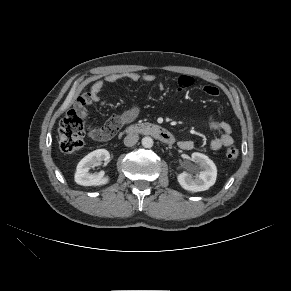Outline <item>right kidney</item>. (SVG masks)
Instances as JSON below:
<instances>
[{
    "mask_svg": "<svg viewBox=\"0 0 291 291\" xmlns=\"http://www.w3.org/2000/svg\"><path fill=\"white\" fill-rule=\"evenodd\" d=\"M110 154L105 149H97L86 155L77 165L75 173V182L82 186H100L109 182V177L104 171L90 173V169L98 163L107 164Z\"/></svg>",
    "mask_w": 291,
    "mask_h": 291,
    "instance_id": "right-kidney-1",
    "label": "right kidney"
}]
</instances>
